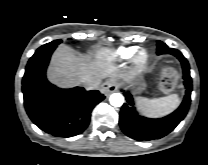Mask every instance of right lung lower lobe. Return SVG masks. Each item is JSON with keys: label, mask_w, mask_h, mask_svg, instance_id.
Returning a JSON list of instances; mask_svg holds the SVG:
<instances>
[{"label": "right lung lower lobe", "mask_w": 208, "mask_h": 165, "mask_svg": "<svg viewBox=\"0 0 208 165\" xmlns=\"http://www.w3.org/2000/svg\"><path fill=\"white\" fill-rule=\"evenodd\" d=\"M56 47L35 53L29 59L22 80L24 106L41 130L54 136L71 137L87 128L92 109L105 97L97 90L60 89L48 82L46 69Z\"/></svg>", "instance_id": "1"}]
</instances>
